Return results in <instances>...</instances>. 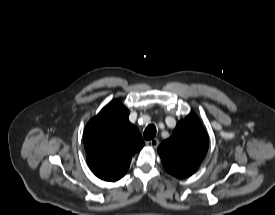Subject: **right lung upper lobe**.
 <instances>
[{"label":"right lung upper lobe","instance_id":"cb5924a9","mask_svg":"<svg viewBox=\"0 0 275 215\" xmlns=\"http://www.w3.org/2000/svg\"><path fill=\"white\" fill-rule=\"evenodd\" d=\"M128 117L129 111L116 99L92 118L85 128L87 161L94 174L102 180L116 181L123 177L132 156L144 146L139 130Z\"/></svg>","mask_w":275,"mask_h":215}]
</instances>
